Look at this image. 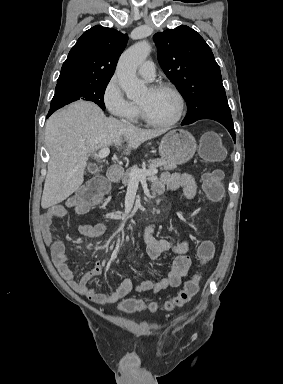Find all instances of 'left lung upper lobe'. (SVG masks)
Instances as JSON below:
<instances>
[{
	"label": "left lung upper lobe",
	"instance_id": "obj_1",
	"mask_svg": "<svg viewBox=\"0 0 283 384\" xmlns=\"http://www.w3.org/2000/svg\"><path fill=\"white\" fill-rule=\"evenodd\" d=\"M158 60L187 102L184 123L207 115L231 114L220 68L204 39L181 25L154 35Z\"/></svg>",
	"mask_w": 283,
	"mask_h": 384
}]
</instances>
